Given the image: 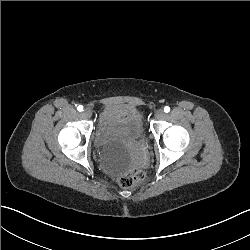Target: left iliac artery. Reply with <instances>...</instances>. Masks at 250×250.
Here are the masks:
<instances>
[{"label":"left iliac artery","instance_id":"left-iliac-artery-1","mask_svg":"<svg viewBox=\"0 0 250 250\" xmlns=\"http://www.w3.org/2000/svg\"><path fill=\"white\" fill-rule=\"evenodd\" d=\"M169 111H170V107L165 106V107H164V112L168 113Z\"/></svg>","mask_w":250,"mask_h":250}]
</instances>
